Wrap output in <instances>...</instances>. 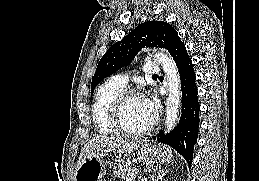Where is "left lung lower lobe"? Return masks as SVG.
<instances>
[{
	"instance_id": "left-lung-lower-lobe-1",
	"label": "left lung lower lobe",
	"mask_w": 259,
	"mask_h": 181,
	"mask_svg": "<svg viewBox=\"0 0 259 181\" xmlns=\"http://www.w3.org/2000/svg\"><path fill=\"white\" fill-rule=\"evenodd\" d=\"M178 68L182 87V114L179 124L169 134L160 131L154 139L174 148L191 166L193 149L198 138L199 109L196 76L185 45L179 40L170 51Z\"/></svg>"
}]
</instances>
